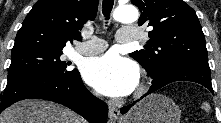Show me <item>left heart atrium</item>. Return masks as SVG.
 <instances>
[{
    "mask_svg": "<svg viewBox=\"0 0 221 123\" xmlns=\"http://www.w3.org/2000/svg\"><path fill=\"white\" fill-rule=\"evenodd\" d=\"M82 74L90 86L108 96L131 93L139 78L136 64L115 52L88 59L83 65Z\"/></svg>",
    "mask_w": 221,
    "mask_h": 123,
    "instance_id": "39dd6f15",
    "label": "left heart atrium"
}]
</instances>
